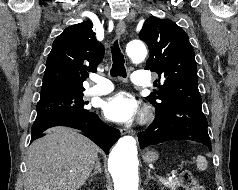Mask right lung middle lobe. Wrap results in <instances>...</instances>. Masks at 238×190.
Here are the masks:
<instances>
[{
	"mask_svg": "<svg viewBox=\"0 0 238 190\" xmlns=\"http://www.w3.org/2000/svg\"><path fill=\"white\" fill-rule=\"evenodd\" d=\"M84 105L83 92L42 98L37 103L36 119L89 112Z\"/></svg>",
	"mask_w": 238,
	"mask_h": 190,
	"instance_id": "1",
	"label": "right lung middle lobe"
}]
</instances>
